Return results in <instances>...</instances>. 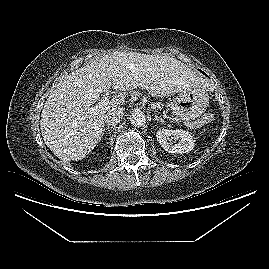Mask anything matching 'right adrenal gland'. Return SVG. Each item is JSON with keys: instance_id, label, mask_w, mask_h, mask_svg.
<instances>
[{"instance_id": "2a0ac1e0", "label": "right adrenal gland", "mask_w": 269, "mask_h": 269, "mask_svg": "<svg viewBox=\"0 0 269 269\" xmlns=\"http://www.w3.org/2000/svg\"><path fill=\"white\" fill-rule=\"evenodd\" d=\"M105 130H112V128L109 127V126H107L106 128L103 129V131H105ZM103 134H104V133H102V136H103Z\"/></svg>"}]
</instances>
